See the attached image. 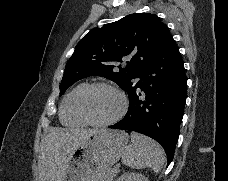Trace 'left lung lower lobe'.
Returning a JSON list of instances; mask_svg holds the SVG:
<instances>
[{"label": "left lung lower lobe", "instance_id": "0a47b994", "mask_svg": "<svg viewBox=\"0 0 228 181\" xmlns=\"http://www.w3.org/2000/svg\"><path fill=\"white\" fill-rule=\"evenodd\" d=\"M130 90L125 117L109 126L142 133L162 145L168 164L174 157L186 101L187 79L179 49L171 37L145 64Z\"/></svg>", "mask_w": 228, "mask_h": 181}]
</instances>
